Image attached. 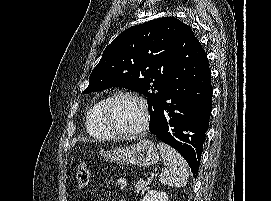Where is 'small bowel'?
I'll use <instances>...</instances> for the list:
<instances>
[{
    "instance_id": "1",
    "label": "small bowel",
    "mask_w": 271,
    "mask_h": 201,
    "mask_svg": "<svg viewBox=\"0 0 271 201\" xmlns=\"http://www.w3.org/2000/svg\"><path fill=\"white\" fill-rule=\"evenodd\" d=\"M115 185L117 186L118 189L125 190L127 187V181L123 177H116L115 178Z\"/></svg>"
}]
</instances>
